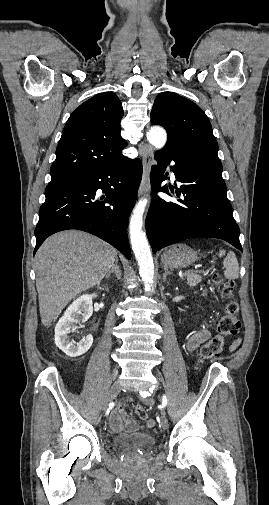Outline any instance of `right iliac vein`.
<instances>
[{
    "mask_svg": "<svg viewBox=\"0 0 269 505\" xmlns=\"http://www.w3.org/2000/svg\"><path fill=\"white\" fill-rule=\"evenodd\" d=\"M120 382L118 380H115L113 382L112 387L110 388L109 392L107 393L104 403H103V411L106 412L110 402L115 398L117 395L119 389H121Z\"/></svg>",
    "mask_w": 269,
    "mask_h": 505,
    "instance_id": "63e3f726",
    "label": "right iliac vein"
}]
</instances>
